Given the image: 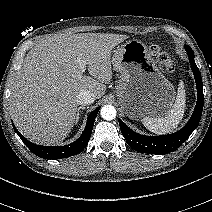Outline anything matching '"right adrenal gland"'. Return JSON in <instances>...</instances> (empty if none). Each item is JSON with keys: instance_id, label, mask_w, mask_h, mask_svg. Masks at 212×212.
<instances>
[{"instance_id": "right-adrenal-gland-1", "label": "right adrenal gland", "mask_w": 212, "mask_h": 212, "mask_svg": "<svg viewBox=\"0 0 212 212\" xmlns=\"http://www.w3.org/2000/svg\"><path fill=\"white\" fill-rule=\"evenodd\" d=\"M83 109H85V107H78L77 117H76V123L79 121V118H80V110H83Z\"/></svg>"}]
</instances>
